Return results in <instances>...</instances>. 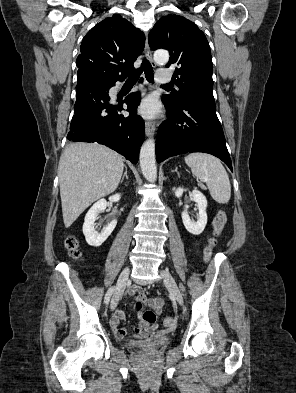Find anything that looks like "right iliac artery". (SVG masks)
<instances>
[{
    "instance_id": "82829eb1",
    "label": "right iliac artery",
    "mask_w": 296,
    "mask_h": 393,
    "mask_svg": "<svg viewBox=\"0 0 296 393\" xmlns=\"http://www.w3.org/2000/svg\"><path fill=\"white\" fill-rule=\"evenodd\" d=\"M115 291V286H112L108 289L105 298H104V302L105 304H108L111 298V295L113 294V292Z\"/></svg>"
}]
</instances>
